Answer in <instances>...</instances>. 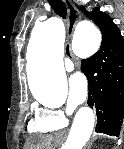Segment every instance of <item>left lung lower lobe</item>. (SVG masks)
I'll list each match as a JSON object with an SVG mask.
<instances>
[{"label":"left lung lower lobe","instance_id":"obj_1","mask_svg":"<svg viewBox=\"0 0 124 149\" xmlns=\"http://www.w3.org/2000/svg\"><path fill=\"white\" fill-rule=\"evenodd\" d=\"M88 79V105L95 106L96 132L119 136L124 118V39H102L100 49L81 61Z\"/></svg>","mask_w":124,"mask_h":149}]
</instances>
